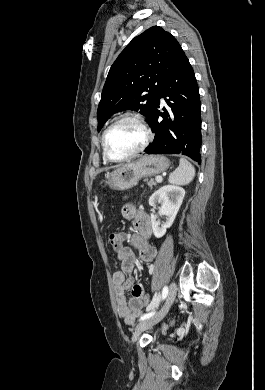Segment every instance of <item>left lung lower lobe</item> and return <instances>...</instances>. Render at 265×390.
<instances>
[{"instance_id":"obj_1","label":"left lung lower lobe","mask_w":265,"mask_h":390,"mask_svg":"<svg viewBox=\"0 0 265 390\" xmlns=\"http://www.w3.org/2000/svg\"><path fill=\"white\" fill-rule=\"evenodd\" d=\"M164 98L169 112H160ZM168 98V99H167ZM199 88L192 66L183 52L157 94L156 107L149 122L155 132L147 154H181L201 163V115ZM159 117L163 120L159 121Z\"/></svg>"}]
</instances>
